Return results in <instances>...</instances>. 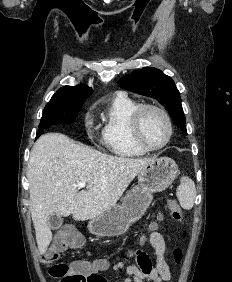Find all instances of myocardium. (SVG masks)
Returning <instances> with one entry per match:
<instances>
[{"mask_svg":"<svg viewBox=\"0 0 232 282\" xmlns=\"http://www.w3.org/2000/svg\"><path fill=\"white\" fill-rule=\"evenodd\" d=\"M150 110L159 113L164 118L167 124V128H168L167 138L165 139V141L162 144L157 145V146H152L148 144L144 140L142 133H141L142 117L145 112L150 111ZM130 132H131L133 141L140 148H142L145 151H157V150L163 149L170 143L173 133H174V128H173L171 117L163 108H161L160 106L154 105V104H141L134 110V112L132 113L130 117Z\"/></svg>","mask_w":232,"mask_h":282,"instance_id":"1","label":"myocardium"}]
</instances>
